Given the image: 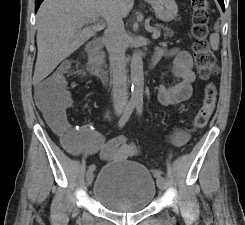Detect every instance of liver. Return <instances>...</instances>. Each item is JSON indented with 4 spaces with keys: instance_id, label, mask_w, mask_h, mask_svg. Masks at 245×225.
<instances>
[{
    "instance_id": "6515ba94",
    "label": "liver",
    "mask_w": 245,
    "mask_h": 225,
    "mask_svg": "<svg viewBox=\"0 0 245 225\" xmlns=\"http://www.w3.org/2000/svg\"><path fill=\"white\" fill-rule=\"evenodd\" d=\"M133 5L134 0H44L36 16L38 55L34 82L46 78L102 30L110 16L127 17ZM99 18L102 20L96 22ZM87 21L94 24L83 27Z\"/></svg>"
}]
</instances>
